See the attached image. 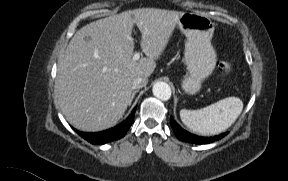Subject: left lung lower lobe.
Masks as SVG:
<instances>
[{
  "instance_id": "left-lung-lower-lobe-1",
  "label": "left lung lower lobe",
  "mask_w": 288,
  "mask_h": 181,
  "mask_svg": "<svg viewBox=\"0 0 288 181\" xmlns=\"http://www.w3.org/2000/svg\"><path fill=\"white\" fill-rule=\"evenodd\" d=\"M170 124L172 126V129L177 136V138L183 142L192 143V144H208L214 141H217L221 138H223L228 133H222L220 135L214 136V137H200L194 134H191L180 127V125L173 119H170Z\"/></svg>"
}]
</instances>
